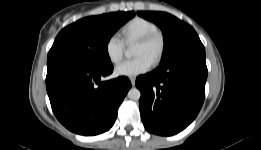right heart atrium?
Segmentation results:
<instances>
[{"label":"right heart atrium","mask_w":261,"mask_h":150,"mask_svg":"<svg viewBox=\"0 0 261 150\" xmlns=\"http://www.w3.org/2000/svg\"><path fill=\"white\" fill-rule=\"evenodd\" d=\"M125 49L124 41L117 35H111L105 42V53L113 64L121 61Z\"/></svg>","instance_id":"obj_1"}]
</instances>
